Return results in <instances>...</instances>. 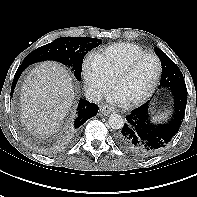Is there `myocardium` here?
<instances>
[{"mask_svg":"<svg viewBox=\"0 0 197 197\" xmlns=\"http://www.w3.org/2000/svg\"><path fill=\"white\" fill-rule=\"evenodd\" d=\"M147 57L153 58L156 61V63H157V73H156V76H155V78H154L151 86L149 87V89L144 94H142L139 97H136V98H133V99H130V100L123 101V103L126 106H134V105L141 104V103L145 102L148 98H150L153 95V93L155 92V90H156V88H157V86L159 84V81H160V78H161V74H162V63H161V60L154 53L146 52V53L140 54V55L134 57L130 62H128L118 72V74L114 78V85H113V87L116 90V88H117L118 84L120 83V81L123 80L125 77H127L133 71V69L135 68V66L142 59L147 58Z\"/></svg>","mask_w":197,"mask_h":197,"instance_id":"f54148a6","label":"myocardium"}]
</instances>
